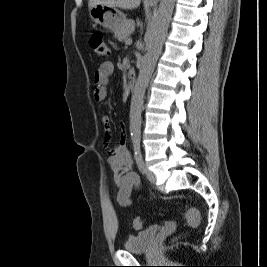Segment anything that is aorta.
<instances>
[{"mask_svg":"<svg viewBox=\"0 0 267 267\" xmlns=\"http://www.w3.org/2000/svg\"><path fill=\"white\" fill-rule=\"evenodd\" d=\"M175 0H161L157 15L146 40V53L143 56L139 75L133 90L130 105V132L133 141H139L141 135V113L146 87L153 74L161 54L172 17Z\"/></svg>","mask_w":267,"mask_h":267,"instance_id":"762f6f07","label":"aorta"}]
</instances>
